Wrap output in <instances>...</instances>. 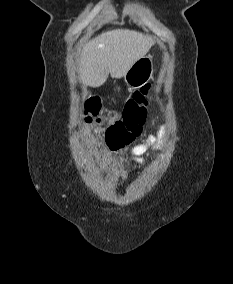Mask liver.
Masks as SVG:
<instances>
[{"instance_id": "1", "label": "liver", "mask_w": 233, "mask_h": 284, "mask_svg": "<svg viewBox=\"0 0 233 284\" xmlns=\"http://www.w3.org/2000/svg\"><path fill=\"white\" fill-rule=\"evenodd\" d=\"M151 37L142 33L115 29L89 41L82 49L80 77L84 86L103 85L109 74L120 79L153 46Z\"/></svg>"}]
</instances>
